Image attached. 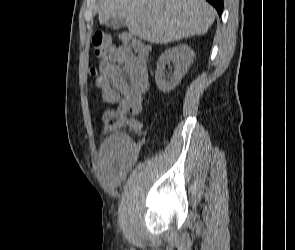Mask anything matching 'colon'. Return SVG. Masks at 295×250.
I'll return each instance as SVG.
<instances>
[{"instance_id": "5ec220e1", "label": "colon", "mask_w": 295, "mask_h": 250, "mask_svg": "<svg viewBox=\"0 0 295 250\" xmlns=\"http://www.w3.org/2000/svg\"><path fill=\"white\" fill-rule=\"evenodd\" d=\"M122 40L124 46H126L132 54L138 55L147 51L145 44L137 38L123 35ZM92 44L94 54L99 59V64L97 68H91L90 73L95 75L97 73L102 74L107 72L110 69L111 58L116 48L111 34L97 32L92 39ZM139 112L138 108L128 105L106 110L101 117L104 129H118L122 127L138 129L140 124L131 116L138 114Z\"/></svg>"}]
</instances>
